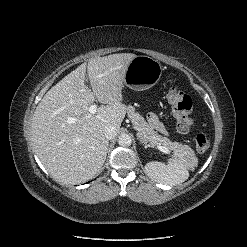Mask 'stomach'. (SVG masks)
<instances>
[{
  "mask_svg": "<svg viewBox=\"0 0 247 247\" xmlns=\"http://www.w3.org/2000/svg\"><path fill=\"white\" fill-rule=\"evenodd\" d=\"M161 64L149 56H136L128 65L123 83L135 91L153 87L161 78Z\"/></svg>",
  "mask_w": 247,
  "mask_h": 247,
  "instance_id": "1",
  "label": "stomach"
}]
</instances>
